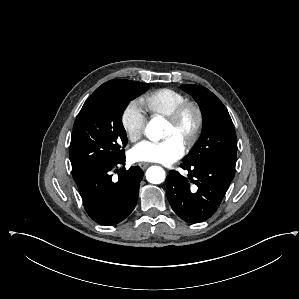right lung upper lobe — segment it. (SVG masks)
<instances>
[{
  "instance_id": "cb5924a9",
  "label": "right lung upper lobe",
  "mask_w": 299,
  "mask_h": 299,
  "mask_svg": "<svg viewBox=\"0 0 299 299\" xmlns=\"http://www.w3.org/2000/svg\"><path fill=\"white\" fill-rule=\"evenodd\" d=\"M124 81H130V80H111V81H108V82L104 83L103 85H101L96 91H99L109 85H112V84H115L118 82H124Z\"/></svg>"
}]
</instances>
